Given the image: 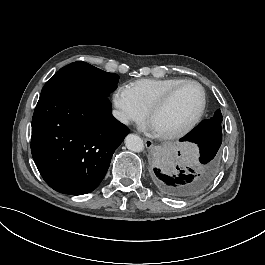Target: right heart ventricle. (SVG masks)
Wrapping results in <instances>:
<instances>
[{
  "label": "right heart ventricle",
  "mask_w": 265,
  "mask_h": 265,
  "mask_svg": "<svg viewBox=\"0 0 265 265\" xmlns=\"http://www.w3.org/2000/svg\"><path fill=\"white\" fill-rule=\"evenodd\" d=\"M182 77L144 78L130 82L127 87L133 92L139 104L149 112L150 109L177 83Z\"/></svg>",
  "instance_id": "obj_1"
}]
</instances>
